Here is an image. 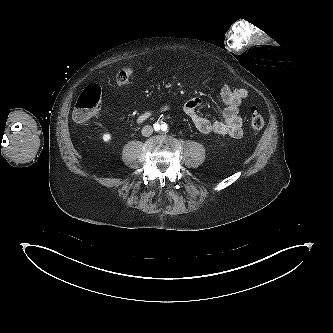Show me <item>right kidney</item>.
<instances>
[{
  "instance_id": "1",
  "label": "right kidney",
  "mask_w": 333,
  "mask_h": 333,
  "mask_svg": "<svg viewBox=\"0 0 333 333\" xmlns=\"http://www.w3.org/2000/svg\"><path fill=\"white\" fill-rule=\"evenodd\" d=\"M102 139L104 142H109L111 140V134L109 133L103 134Z\"/></svg>"
}]
</instances>
